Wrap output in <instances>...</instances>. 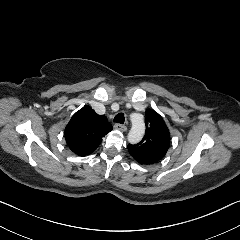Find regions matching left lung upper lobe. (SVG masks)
Returning a JSON list of instances; mask_svg holds the SVG:
<instances>
[{"label": "left lung upper lobe", "instance_id": "left-lung-upper-lobe-1", "mask_svg": "<svg viewBox=\"0 0 240 240\" xmlns=\"http://www.w3.org/2000/svg\"><path fill=\"white\" fill-rule=\"evenodd\" d=\"M145 136L135 145H128L130 155L141 164H154L161 160L170 144V133L162 117L153 110H146Z\"/></svg>", "mask_w": 240, "mask_h": 240}]
</instances>
